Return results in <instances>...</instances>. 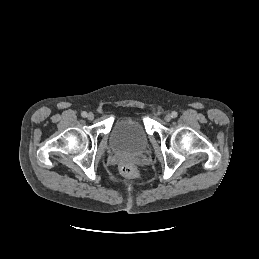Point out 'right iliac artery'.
<instances>
[{"label":"right iliac artery","instance_id":"obj_1","mask_svg":"<svg viewBox=\"0 0 259 259\" xmlns=\"http://www.w3.org/2000/svg\"><path fill=\"white\" fill-rule=\"evenodd\" d=\"M81 115H82V117H87V112L83 111V112L81 113Z\"/></svg>","mask_w":259,"mask_h":259}]
</instances>
